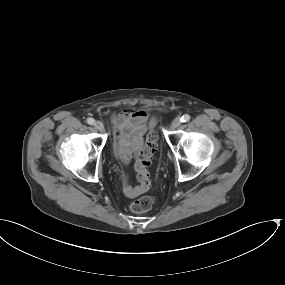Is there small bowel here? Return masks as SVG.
Instances as JSON below:
<instances>
[{
  "label": "small bowel",
  "mask_w": 285,
  "mask_h": 285,
  "mask_svg": "<svg viewBox=\"0 0 285 285\" xmlns=\"http://www.w3.org/2000/svg\"><path fill=\"white\" fill-rule=\"evenodd\" d=\"M114 123V151L117 157L125 164L141 153L142 134L151 126V122L144 112L125 110L112 117ZM123 192L130 198H135L145 191L138 186L131 188L124 186Z\"/></svg>",
  "instance_id": "small-bowel-1"
}]
</instances>
